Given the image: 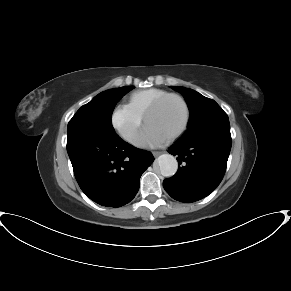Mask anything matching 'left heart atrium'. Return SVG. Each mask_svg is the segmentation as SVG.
<instances>
[{
  "label": "left heart atrium",
  "instance_id": "39dd6f15",
  "mask_svg": "<svg viewBox=\"0 0 291 291\" xmlns=\"http://www.w3.org/2000/svg\"><path fill=\"white\" fill-rule=\"evenodd\" d=\"M166 137L158 133L151 126L146 125L136 136V143L141 146H154L163 143Z\"/></svg>",
  "mask_w": 291,
  "mask_h": 291
}]
</instances>
